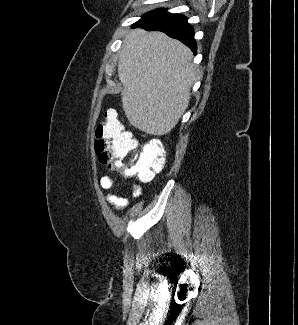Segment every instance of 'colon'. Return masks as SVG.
Wrapping results in <instances>:
<instances>
[{"mask_svg":"<svg viewBox=\"0 0 298 325\" xmlns=\"http://www.w3.org/2000/svg\"><path fill=\"white\" fill-rule=\"evenodd\" d=\"M150 144L142 151L138 140L127 130L115 111H107L104 120L95 131V150L108 171L124 181L145 183L162 171L165 165L164 152H153Z\"/></svg>","mask_w":298,"mask_h":325,"instance_id":"1","label":"colon"}]
</instances>
